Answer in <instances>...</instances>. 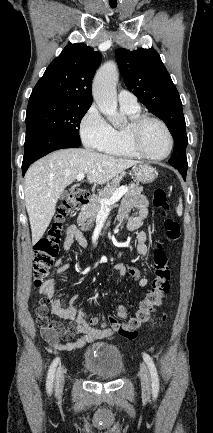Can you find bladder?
I'll return each instance as SVG.
<instances>
[{
	"label": "bladder",
	"mask_w": 213,
	"mask_h": 433,
	"mask_svg": "<svg viewBox=\"0 0 213 433\" xmlns=\"http://www.w3.org/2000/svg\"><path fill=\"white\" fill-rule=\"evenodd\" d=\"M83 366L87 372L98 378H117L124 369L123 355L114 345L97 343L84 353Z\"/></svg>",
	"instance_id": "31cf9c89"
}]
</instances>
